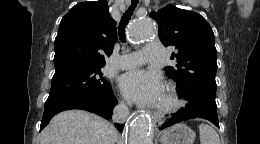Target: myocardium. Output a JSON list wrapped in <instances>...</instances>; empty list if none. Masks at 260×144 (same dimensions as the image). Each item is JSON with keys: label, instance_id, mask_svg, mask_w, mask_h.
I'll use <instances>...</instances> for the list:
<instances>
[{"label": "myocardium", "instance_id": "obj_1", "mask_svg": "<svg viewBox=\"0 0 260 144\" xmlns=\"http://www.w3.org/2000/svg\"><path fill=\"white\" fill-rule=\"evenodd\" d=\"M166 102L157 106V111L163 114L173 113L181 107V100L176 89L172 85H167L165 88Z\"/></svg>", "mask_w": 260, "mask_h": 144}]
</instances>
